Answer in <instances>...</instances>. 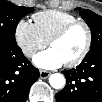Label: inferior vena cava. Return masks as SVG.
Wrapping results in <instances>:
<instances>
[{
    "mask_svg": "<svg viewBox=\"0 0 102 102\" xmlns=\"http://www.w3.org/2000/svg\"><path fill=\"white\" fill-rule=\"evenodd\" d=\"M25 55H27V56H30V55H32L33 53H34V50H32V49H27V50H25Z\"/></svg>",
    "mask_w": 102,
    "mask_h": 102,
    "instance_id": "1",
    "label": "inferior vena cava"
}]
</instances>
